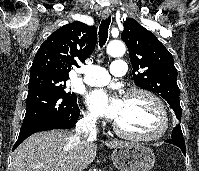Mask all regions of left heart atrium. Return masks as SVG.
Instances as JSON below:
<instances>
[{
	"label": "left heart atrium",
	"mask_w": 199,
	"mask_h": 171,
	"mask_svg": "<svg viewBox=\"0 0 199 171\" xmlns=\"http://www.w3.org/2000/svg\"><path fill=\"white\" fill-rule=\"evenodd\" d=\"M86 103L95 114L116 120L121 111L123 99L106 90L96 89L86 95Z\"/></svg>",
	"instance_id": "left-heart-atrium-1"
}]
</instances>
